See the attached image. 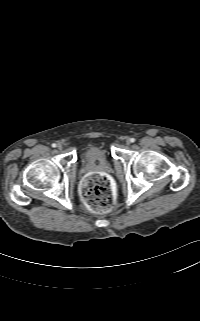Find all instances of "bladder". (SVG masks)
Segmentation results:
<instances>
[{"label":"bladder","mask_w":200,"mask_h":321,"mask_svg":"<svg viewBox=\"0 0 200 321\" xmlns=\"http://www.w3.org/2000/svg\"><path fill=\"white\" fill-rule=\"evenodd\" d=\"M108 150L103 144H92L86 147L83 153V159L87 162L105 159Z\"/></svg>","instance_id":"obj_1"}]
</instances>
